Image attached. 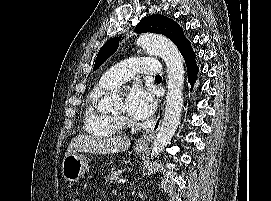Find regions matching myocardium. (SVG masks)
I'll return each mask as SVG.
<instances>
[{"label":"myocardium","mask_w":271,"mask_h":201,"mask_svg":"<svg viewBox=\"0 0 271 201\" xmlns=\"http://www.w3.org/2000/svg\"><path fill=\"white\" fill-rule=\"evenodd\" d=\"M115 117L119 119L120 121H124L127 119L125 114H116Z\"/></svg>","instance_id":"obj_1"}]
</instances>
